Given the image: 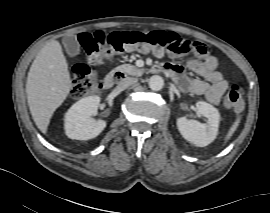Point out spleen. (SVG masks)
I'll list each match as a JSON object with an SVG mask.
<instances>
[{
	"instance_id": "1",
	"label": "spleen",
	"mask_w": 270,
	"mask_h": 213,
	"mask_svg": "<svg viewBox=\"0 0 270 213\" xmlns=\"http://www.w3.org/2000/svg\"><path fill=\"white\" fill-rule=\"evenodd\" d=\"M239 123H240V119L238 118V119L235 120V122H234V123L232 124V126L230 127V129H229V131H228V133H227V135H226L225 140L230 139V137H231V136L234 134V132L236 131V129H237Z\"/></svg>"
}]
</instances>
